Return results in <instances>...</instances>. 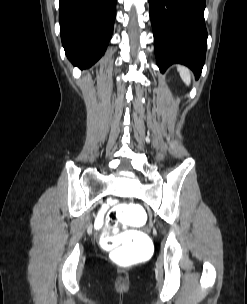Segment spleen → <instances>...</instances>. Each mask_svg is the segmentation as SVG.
I'll list each match as a JSON object with an SVG mask.
<instances>
[{"label": "spleen", "instance_id": "1", "mask_svg": "<svg viewBox=\"0 0 247 304\" xmlns=\"http://www.w3.org/2000/svg\"><path fill=\"white\" fill-rule=\"evenodd\" d=\"M177 71L179 72L180 77L182 78V80L184 81V83L186 85H190V81H191V72H190V70L187 67H185V66L178 65L177 66Z\"/></svg>", "mask_w": 247, "mask_h": 304}]
</instances>
